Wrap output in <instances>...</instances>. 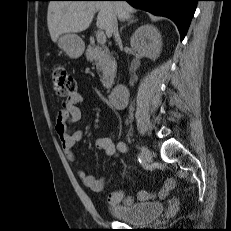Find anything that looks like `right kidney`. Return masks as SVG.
<instances>
[{
	"label": "right kidney",
	"instance_id": "obj_1",
	"mask_svg": "<svg viewBox=\"0 0 231 231\" xmlns=\"http://www.w3.org/2000/svg\"><path fill=\"white\" fill-rule=\"evenodd\" d=\"M130 44L141 57H147L155 61L162 48L161 34L151 24L142 25L132 35Z\"/></svg>",
	"mask_w": 231,
	"mask_h": 231
}]
</instances>
